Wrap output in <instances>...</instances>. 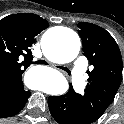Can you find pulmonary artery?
<instances>
[{
	"label": "pulmonary artery",
	"instance_id": "1",
	"mask_svg": "<svg viewBox=\"0 0 124 124\" xmlns=\"http://www.w3.org/2000/svg\"><path fill=\"white\" fill-rule=\"evenodd\" d=\"M87 59L79 57L72 67V84L76 92H80L85 87V71L87 68Z\"/></svg>",
	"mask_w": 124,
	"mask_h": 124
}]
</instances>
